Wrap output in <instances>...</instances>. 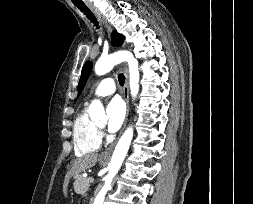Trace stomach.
Instances as JSON below:
<instances>
[{"label":"stomach","instance_id":"obj_1","mask_svg":"<svg viewBox=\"0 0 253 204\" xmlns=\"http://www.w3.org/2000/svg\"><path fill=\"white\" fill-rule=\"evenodd\" d=\"M100 161H104L102 158H100Z\"/></svg>","mask_w":253,"mask_h":204}]
</instances>
